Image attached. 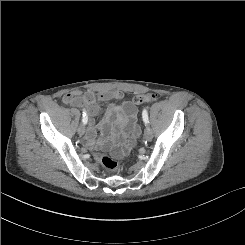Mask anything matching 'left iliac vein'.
I'll use <instances>...</instances> for the list:
<instances>
[{
    "label": "left iliac vein",
    "instance_id": "1",
    "mask_svg": "<svg viewBox=\"0 0 245 245\" xmlns=\"http://www.w3.org/2000/svg\"><path fill=\"white\" fill-rule=\"evenodd\" d=\"M153 138V132L150 127H147L144 134V139L150 141Z\"/></svg>",
    "mask_w": 245,
    "mask_h": 245
}]
</instances>
